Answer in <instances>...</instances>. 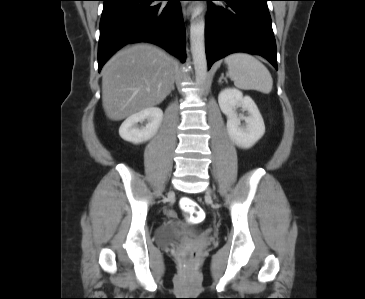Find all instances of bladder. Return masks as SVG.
I'll list each match as a JSON object with an SVG mask.
<instances>
[{
    "label": "bladder",
    "instance_id": "1",
    "mask_svg": "<svg viewBox=\"0 0 365 299\" xmlns=\"http://www.w3.org/2000/svg\"><path fill=\"white\" fill-rule=\"evenodd\" d=\"M189 234L191 230L182 221L173 220L159 226L156 237L159 245L170 246Z\"/></svg>",
    "mask_w": 365,
    "mask_h": 299
}]
</instances>
